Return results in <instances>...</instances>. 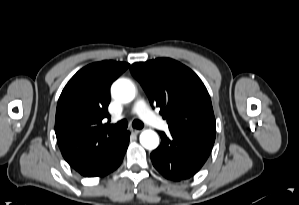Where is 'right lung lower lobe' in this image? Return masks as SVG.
<instances>
[{
  "mask_svg": "<svg viewBox=\"0 0 299 205\" xmlns=\"http://www.w3.org/2000/svg\"><path fill=\"white\" fill-rule=\"evenodd\" d=\"M130 133L124 132L118 143L101 157L95 159L83 172L80 173L85 177H103L114 170L121 164L129 143Z\"/></svg>",
  "mask_w": 299,
  "mask_h": 205,
  "instance_id": "right-lung-lower-lobe-1",
  "label": "right lung lower lobe"
}]
</instances>
